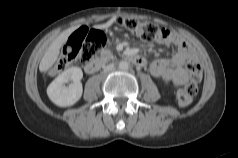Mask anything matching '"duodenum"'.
<instances>
[{"label": "duodenum", "mask_w": 238, "mask_h": 158, "mask_svg": "<svg viewBox=\"0 0 238 158\" xmlns=\"http://www.w3.org/2000/svg\"><path fill=\"white\" fill-rule=\"evenodd\" d=\"M126 59L139 67H143L146 64V60L138 54L128 55V56H126ZM104 62H105V60L103 58H97V59H94V60L88 62L85 65L86 73L93 74V73L97 72L101 68V66L104 64Z\"/></svg>", "instance_id": "1"}]
</instances>
